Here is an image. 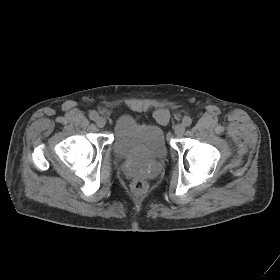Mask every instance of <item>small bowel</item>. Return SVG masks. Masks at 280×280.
I'll return each instance as SVG.
<instances>
[{"instance_id":"1","label":"small bowel","mask_w":280,"mask_h":280,"mask_svg":"<svg viewBox=\"0 0 280 280\" xmlns=\"http://www.w3.org/2000/svg\"><path fill=\"white\" fill-rule=\"evenodd\" d=\"M158 115L161 117V118H166L167 117V111H165V110H160L159 112H158Z\"/></svg>"}]
</instances>
